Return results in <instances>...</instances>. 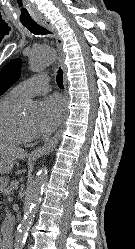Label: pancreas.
Listing matches in <instances>:
<instances>
[{
  "label": "pancreas",
  "instance_id": "obj_1",
  "mask_svg": "<svg viewBox=\"0 0 135 249\" xmlns=\"http://www.w3.org/2000/svg\"><path fill=\"white\" fill-rule=\"evenodd\" d=\"M17 184H18L17 181H13V182H11L9 188H14V187L17 186ZM6 190H7V188H5L3 185L0 186V191H1V192H5Z\"/></svg>",
  "mask_w": 135,
  "mask_h": 249
}]
</instances>
